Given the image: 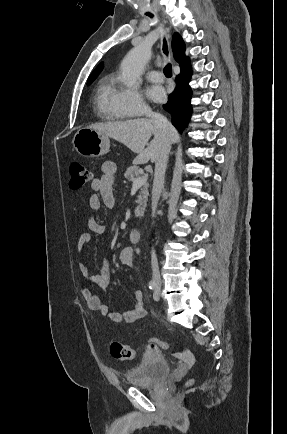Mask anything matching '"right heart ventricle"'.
Returning a JSON list of instances; mask_svg holds the SVG:
<instances>
[{"instance_id":"right-heart-ventricle-1","label":"right heart ventricle","mask_w":287,"mask_h":434,"mask_svg":"<svg viewBox=\"0 0 287 434\" xmlns=\"http://www.w3.org/2000/svg\"><path fill=\"white\" fill-rule=\"evenodd\" d=\"M115 90L116 88L113 77H103L97 85L95 107L98 113L105 119L122 120L125 116L116 109L113 103Z\"/></svg>"}]
</instances>
